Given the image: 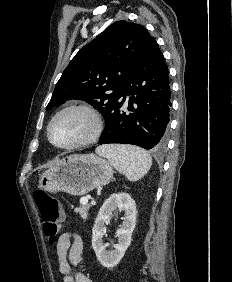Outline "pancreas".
Masks as SVG:
<instances>
[{"label": "pancreas", "instance_id": "1", "mask_svg": "<svg viewBox=\"0 0 232 282\" xmlns=\"http://www.w3.org/2000/svg\"><path fill=\"white\" fill-rule=\"evenodd\" d=\"M90 209V205H82L75 209L76 213H79L83 220H86L88 217V211Z\"/></svg>", "mask_w": 232, "mask_h": 282}]
</instances>
